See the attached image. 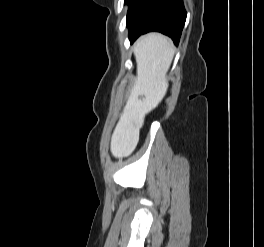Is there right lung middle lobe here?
Returning a JSON list of instances; mask_svg holds the SVG:
<instances>
[{
    "instance_id": "right-lung-middle-lobe-1",
    "label": "right lung middle lobe",
    "mask_w": 264,
    "mask_h": 247,
    "mask_svg": "<svg viewBox=\"0 0 264 247\" xmlns=\"http://www.w3.org/2000/svg\"><path fill=\"white\" fill-rule=\"evenodd\" d=\"M130 1H131V0H124V4H126V3L129 4Z\"/></svg>"
}]
</instances>
